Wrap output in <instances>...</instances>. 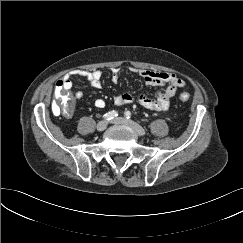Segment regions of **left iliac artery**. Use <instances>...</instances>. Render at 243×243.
<instances>
[{
    "label": "left iliac artery",
    "mask_w": 243,
    "mask_h": 243,
    "mask_svg": "<svg viewBox=\"0 0 243 243\" xmlns=\"http://www.w3.org/2000/svg\"><path fill=\"white\" fill-rule=\"evenodd\" d=\"M125 117H126L127 119H129V118L131 117V112H130V111H126V112H125Z\"/></svg>",
    "instance_id": "1"
}]
</instances>
